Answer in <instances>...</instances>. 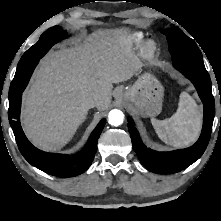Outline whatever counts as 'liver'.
<instances>
[{
  "label": "liver",
  "instance_id": "liver-1",
  "mask_svg": "<svg viewBox=\"0 0 221 221\" xmlns=\"http://www.w3.org/2000/svg\"><path fill=\"white\" fill-rule=\"evenodd\" d=\"M124 29L97 31L83 43L50 51L23 93L21 120L26 136L44 151L65 146L84 122L92 96L104 111L113 83L130 79L138 64Z\"/></svg>",
  "mask_w": 221,
  "mask_h": 221
}]
</instances>
